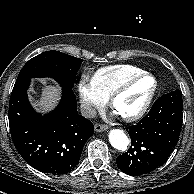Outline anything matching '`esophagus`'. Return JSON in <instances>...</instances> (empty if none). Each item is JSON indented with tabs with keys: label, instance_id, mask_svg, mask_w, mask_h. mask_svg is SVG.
Returning a JSON list of instances; mask_svg holds the SVG:
<instances>
[{
	"label": "esophagus",
	"instance_id": "obj_1",
	"mask_svg": "<svg viewBox=\"0 0 194 194\" xmlns=\"http://www.w3.org/2000/svg\"><path fill=\"white\" fill-rule=\"evenodd\" d=\"M107 129H108L107 125H104V124H96L95 125L96 132H103V131H106Z\"/></svg>",
	"mask_w": 194,
	"mask_h": 194
}]
</instances>
